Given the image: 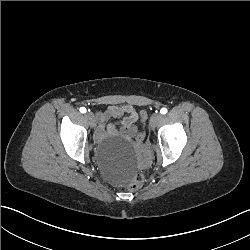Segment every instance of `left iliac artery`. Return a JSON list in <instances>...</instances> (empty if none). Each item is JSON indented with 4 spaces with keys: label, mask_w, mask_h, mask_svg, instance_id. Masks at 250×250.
Here are the masks:
<instances>
[{
    "label": "left iliac artery",
    "mask_w": 250,
    "mask_h": 250,
    "mask_svg": "<svg viewBox=\"0 0 250 250\" xmlns=\"http://www.w3.org/2000/svg\"><path fill=\"white\" fill-rule=\"evenodd\" d=\"M160 113L163 114V115L166 114V113H167V109H166V108H162V109L160 110Z\"/></svg>",
    "instance_id": "44dca946"
}]
</instances>
